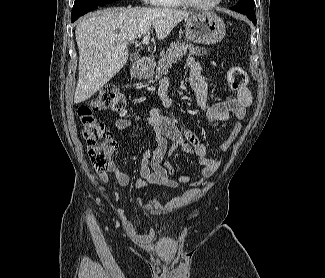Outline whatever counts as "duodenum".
<instances>
[{
	"label": "duodenum",
	"mask_w": 325,
	"mask_h": 278,
	"mask_svg": "<svg viewBox=\"0 0 325 278\" xmlns=\"http://www.w3.org/2000/svg\"><path fill=\"white\" fill-rule=\"evenodd\" d=\"M152 65V62L148 58H141L138 61V64L136 66V75H141L142 72L148 68H150Z\"/></svg>",
	"instance_id": "410a0bca"
}]
</instances>
